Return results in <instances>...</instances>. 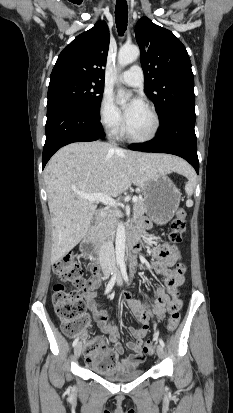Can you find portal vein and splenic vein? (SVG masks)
<instances>
[{
  "mask_svg": "<svg viewBox=\"0 0 233 413\" xmlns=\"http://www.w3.org/2000/svg\"><path fill=\"white\" fill-rule=\"evenodd\" d=\"M76 194L90 202H94V201H100L106 205L109 206H116V201L111 198L110 196H108L107 194L104 193H92V194H84L82 192H76ZM132 201L135 203L138 201V197L137 196H133Z\"/></svg>",
  "mask_w": 233,
  "mask_h": 413,
  "instance_id": "1",
  "label": "portal vein and splenic vein"
}]
</instances>
